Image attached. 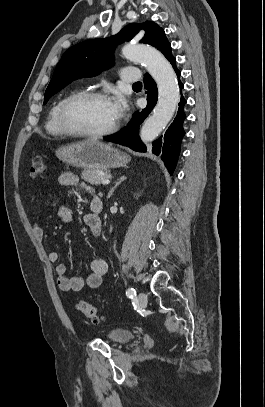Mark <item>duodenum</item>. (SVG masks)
I'll return each instance as SVG.
<instances>
[{"label":"duodenum","instance_id":"duodenum-1","mask_svg":"<svg viewBox=\"0 0 265 407\" xmlns=\"http://www.w3.org/2000/svg\"><path fill=\"white\" fill-rule=\"evenodd\" d=\"M91 208L95 214H100L103 211L104 204L101 199L94 198L91 202Z\"/></svg>","mask_w":265,"mask_h":407}]
</instances>
